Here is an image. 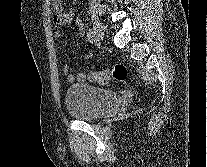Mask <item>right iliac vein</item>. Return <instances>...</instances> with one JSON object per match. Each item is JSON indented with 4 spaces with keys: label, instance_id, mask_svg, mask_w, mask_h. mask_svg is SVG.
<instances>
[{
    "label": "right iliac vein",
    "instance_id": "63e3f726",
    "mask_svg": "<svg viewBox=\"0 0 207 167\" xmlns=\"http://www.w3.org/2000/svg\"><path fill=\"white\" fill-rule=\"evenodd\" d=\"M92 23H93V30L95 32V41H97L100 44V42L103 40L104 37V30H103L102 23L100 22L94 10L92 11Z\"/></svg>",
    "mask_w": 207,
    "mask_h": 167
}]
</instances>
